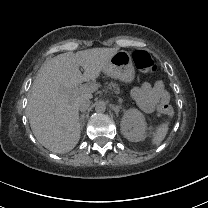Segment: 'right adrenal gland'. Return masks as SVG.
<instances>
[{
  "mask_svg": "<svg viewBox=\"0 0 208 208\" xmlns=\"http://www.w3.org/2000/svg\"><path fill=\"white\" fill-rule=\"evenodd\" d=\"M84 116V113H82V116L80 117V123L82 127L84 126Z\"/></svg>",
  "mask_w": 208,
  "mask_h": 208,
  "instance_id": "2a0ac1e0",
  "label": "right adrenal gland"
}]
</instances>
